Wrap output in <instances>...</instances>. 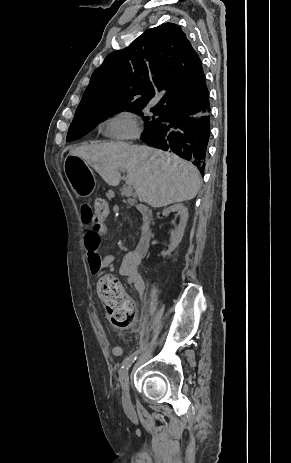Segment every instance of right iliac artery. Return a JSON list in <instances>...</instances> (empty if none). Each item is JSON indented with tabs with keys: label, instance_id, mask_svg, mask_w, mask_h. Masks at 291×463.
I'll list each match as a JSON object with an SVG mask.
<instances>
[{
	"label": "right iliac artery",
	"instance_id": "1",
	"mask_svg": "<svg viewBox=\"0 0 291 463\" xmlns=\"http://www.w3.org/2000/svg\"><path fill=\"white\" fill-rule=\"evenodd\" d=\"M139 354V350L135 351L133 354H131L126 361L123 363L121 367V373H120V382L122 386L124 384L128 383V369L132 365V363L136 360L137 355Z\"/></svg>",
	"mask_w": 291,
	"mask_h": 463
}]
</instances>
